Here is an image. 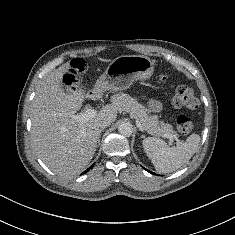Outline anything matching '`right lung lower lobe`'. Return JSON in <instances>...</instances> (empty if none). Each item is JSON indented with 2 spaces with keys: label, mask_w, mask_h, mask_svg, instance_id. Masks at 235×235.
I'll return each instance as SVG.
<instances>
[{
  "label": "right lung lower lobe",
  "mask_w": 235,
  "mask_h": 235,
  "mask_svg": "<svg viewBox=\"0 0 235 235\" xmlns=\"http://www.w3.org/2000/svg\"><path fill=\"white\" fill-rule=\"evenodd\" d=\"M92 167H93V165L90 166L86 171H84L83 174L86 173L87 171H89Z\"/></svg>",
  "instance_id": "98d812e1"
}]
</instances>
